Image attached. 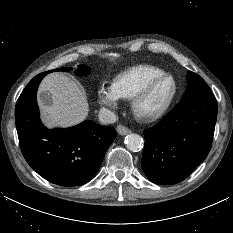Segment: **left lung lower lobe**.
Instances as JSON below:
<instances>
[{
    "mask_svg": "<svg viewBox=\"0 0 233 233\" xmlns=\"http://www.w3.org/2000/svg\"><path fill=\"white\" fill-rule=\"evenodd\" d=\"M217 119V102L210 92L181 99L159 123L144 131L142 169L159 185L187 178L207 157Z\"/></svg>",
    "mask_w": 233,
    "mask_h": 233,
    "instance_id": "left-lung-lower-lobe-1",
    "label": "left lung lower lobe"
}]
</instances>
